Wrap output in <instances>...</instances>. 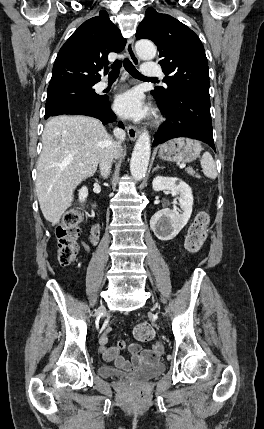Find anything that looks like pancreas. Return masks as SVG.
<instances>
[{"label": "pancreas", "instance_id": "pancreas-1", "mask_svg": "<svg viewBox=\"0 0 264 429\" xmlns=\"http://www.w3.org/2000/svg\"><path fill=\"white\" fill-rule=\"evenodd\" d=\"M186 171L191 176H194V177H197V178L199 177L198 173H196L193 169L188 168Z\"/></svg>", "mask_w": 264, "mask_h": 429}]
</instances>
